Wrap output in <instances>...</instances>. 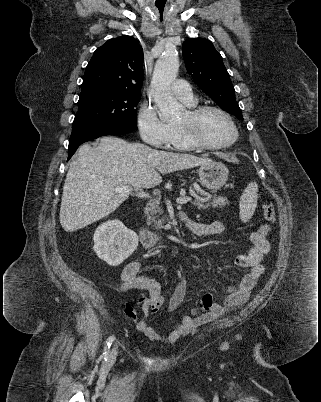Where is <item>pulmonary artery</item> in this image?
I'll use <instances>...</instances> for the list:
<instances>
[{"label": "pulmonary artery", "instance_id": "1", "mask_svg": "<svg viewBox=\"0 0 321 402\" xmlns=\"http://www.w3.org/2000/svg\"><path fill=\"white\" fill-rule=\"evenodd\" d=\"M171 91L174 96L186 104L196 102V97L193 95L191 86L184 80L178 79L174 81L171 86Z\"/></svg>", "mask_w": 321, "mask_h": 402}]
</instances>
